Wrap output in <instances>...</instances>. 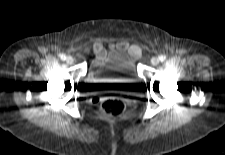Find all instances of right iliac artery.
Segmentation results:
<instances>
[{
  "instance_id": "obj_1",
  "label": "right iliac artery",
  "mask_w": 225,
  "mask_h": 155,
  "mask_svg": "<svg viewBox=\"0 0 225 155\" xmlns=\"http://www.w3.org/2000/svg\"><path fill=\"white\" fill-rule=\"evenodd\" d=\"M59 57H60L61 60H65L66 59V55L65 54H60Z\"/></svg>"
}]
</instances>
